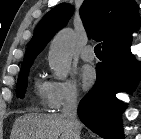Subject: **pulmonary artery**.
Returning <instances> with one entry per match:
<instances>
[{
	"mask_svg": "<svg viewBox=\"0 0 141 139\" xmlns=\"http://www.w3.org/2000/svg\"><path fill=\"white\" fill-rule=\"evenodd\" d=\"M81 59L86 62H91L95 59L93 48L91 46H86L81 52Z\"/></svg>",
	"mask_w": 141,
	"mask_h": 139,
	"instance_id": "1",
	"label": "pulmonary artery"
}]
</instances>
